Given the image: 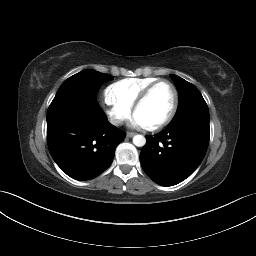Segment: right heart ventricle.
I'll use <instances>...</instances> for the list:
<instances>
[{
    "mask_svg": "<svg viewBox=\"0 0 256 256\" xmlns=\"http://www.w3.org/2000/svg\"><path fill=\"white\" fill-rule=\"evenodd\" d=\"M158 80L154 77L123 79L111 84L106 89V96L110 101L131 109L143 90Z\"/></svg>",
    "mask_w": 256,
    "mask_h": 256,
    "instance_id": "1",
    "label": "right heart ventricle"
}]
</instances>
